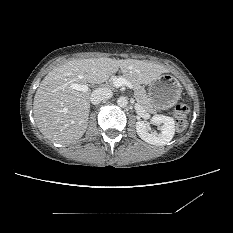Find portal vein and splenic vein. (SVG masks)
Wrapping results in <instances>:
<instances>
[{
    "mask_svg": "<svg viewBox=\"0 0 233 233\" xmlns=\"http://www.w3.org/2000/svg\"><path fill=\"white\" fill-rule=\"evenodd\" d=\"M113 85L116 88H119V87H122V86H127L128 88L133 89V86H132L131 82L127 81L123 77L116 78L113 81ZM70 88H72L74 90L82 91V92H87L89 90L88 85H86V84H77V83L70 84Z\"/></svg>",
    "mask_w": 233,
    "mask_h": 233,
    "instance_id": "obj_1",
    "label": "portal vein and splenic vein"
}]
</instances>
